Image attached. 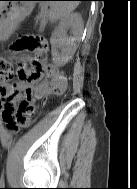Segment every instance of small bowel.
Here are the masks:
<instances>
[{
  "mask_svg": "<svg viewBox=\"0 0 137 189\" xmlns=\"http://www.w3.org/2000/svg\"><path fill=\"white\" fill-rule=\"evenodd\" d=\"M64 82L65 79L62 76H60L58 73L53 71L51 83L49 85L40 88L38 94L44 93L47 89L61 88L63 87ZM16 90L24 91L27 94V96H29L31 99L34 98L32 89L26 84L23 83L18 84ZM17 98L18 97H16L14 94L10 95L4 104H0V109H2L3 119L6 122L7 126L12 130H17L20 125H24L27 123L25 117L23 116H18V118L15 117L14 105L17 101Z\"/></svg>",
  "mask_w": 137,
  "mask_h": 189,
  "instance_id": "small-bowel-1",
  "label": "small bowel"
}]
</instances>
